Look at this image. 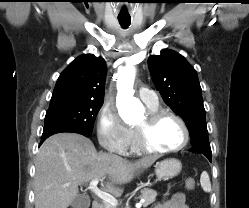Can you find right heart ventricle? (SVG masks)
I'll return each mask as SVG.
<instances>
[{"instance_id":"e07e8e85","label":"right heart ventricle","mask_w":249,"mask_h":208,"mask_svg":"<svg viewBox=\"0 0 249 208\" xmlns=\"http://www.w3.org/2000/svg\"><path fill=\"white\" fill-rule=\"evenodd\" d=\"M149 111H157L158 110V106L157 107H148ZM131 133V139H130V146L129 149L131 152H139L137 146H136V142H135V133L133 130H130Z\"/></svg>"}]
</instances>
